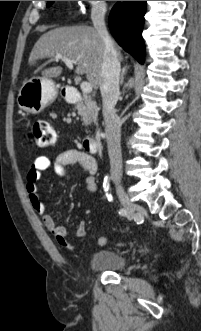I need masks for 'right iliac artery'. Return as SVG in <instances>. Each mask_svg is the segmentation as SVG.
I'll list each match as a JSON object with an SVG mask.
<instances>
[{
  "mask_svg": "<svg viewBox=\"0 0 201 331\" xmlns=\"http://www.w3.org/2000/svg\"><path fill=\"white\" fill-rule=\"evenodd\" d=\"M103 188H104L105 192H107L108 189H109V178H108V176H105V178H104ZM107 198H108L109 201L112 200L111 194H107ZM126 213H127L126 210L123 209V208L119 210L120 215H126Z\"/></svg>",
  "mask_w": 201,
  "mask_h": 331,
  "instance_id": "right-iliac-artery-1",
  "label": "right iliac artery"
}]
</instances>
